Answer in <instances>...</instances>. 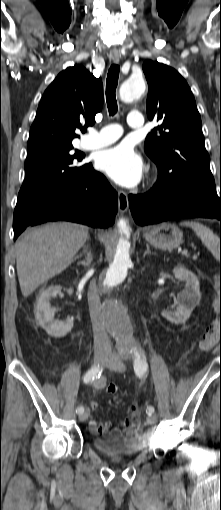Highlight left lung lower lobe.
Listing matches in <instances>:
<instances>
[{
  "instance_id": "0a47b994",
  "label": "left lung lower lobe",
  "mask_w": 221,
  "mask_h": 510,
  "mask_svg": "<svg viewBox=\"0 0 221 510\" xmlns=\"http://www.w3.org/2000/svg\"><path fill=\"white\" fill-rule=\"evenodd\" d=\"M129 205L138 225L155 224L178 218H216L221 223V192L183 189L161 191L156 184L150 191L129 195Z\"/></svg>"
}]
</instances>
